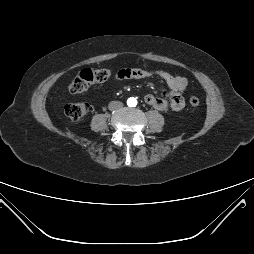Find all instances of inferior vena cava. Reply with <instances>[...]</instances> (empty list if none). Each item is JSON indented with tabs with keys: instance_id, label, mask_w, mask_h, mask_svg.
<instances>
[{
	"instance_id": "obj_1",
	"label": "inferior vena cava",
	"mask_w": 254,
	"mask_h": 254,
	"mask_svg": "<svg viewBox=\"0 0 254 254\" xmlns=\"http://www.w3.org/2000/svg\"><path fill=\"white\" fill-rule=\"evenodd\" d=\"M121 107H123V103L120 102V101H111L109 103V109L110 110H116V109H119Z\"/></svg>"
}]
</instances>
